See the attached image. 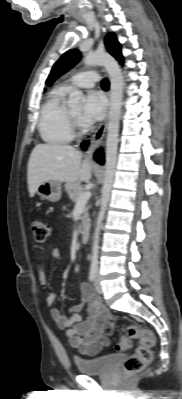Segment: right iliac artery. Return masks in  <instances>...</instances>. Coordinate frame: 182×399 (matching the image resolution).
Wrapping results in <instances>:
<instances>
[{
	"instance_id": "obj_1",
	"label": "right iliac artery",
	"mask_w": 182,
	"mask_h": 399,
	"mask_svg": "<svg viewBox=\"0 0 182 399\" xmlns=\"http://www.w3.org/2000/svg\"><path fill=\"white\" fill-rule=\"evenodd\" d=\"M96 277H97V270H96V268H91L90 271H89V280H90L91 282H94L95 279H96Z\"/></svg>"
}]
</instances>
